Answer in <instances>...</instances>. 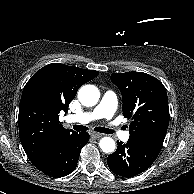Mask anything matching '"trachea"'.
Here are the masks:
<instances>
[{
	"instance_id": "trachea-1",
	"label": "trachea",
	"mask_w": 194,
	"mask_h": 194,
	"mask_svg": "<svg viewBox=\"0 0 194 194\" xmlns=\"http://www.w3.org/2000/svg\"><path fill=\"white\" fill-rule=\"evenodd\" d=\"M73 129L76 131H86L88 130V127L83 126V125H73ZM95 131L100 132V133H106V134H112L113 131L105 128V127H95L94 128Z\"/></svg>"
}]
</instances>
